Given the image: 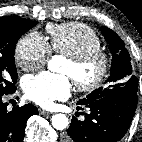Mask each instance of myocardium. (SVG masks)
<instances>
[{"mask_svg":"<svg viewBox=\"0 0 142 142\" xmlns=\"http://www.w3.org/2000/svg\"><path fill=\"white\" fill-rule=\"evenodd\" d=\"M68 61L77 71H81L93 63L98 66L96 75L91 79H83L78 76L72 78L76 88L80 91H93L99 88L108 77L110 59L108 54L100 48L81 53L77 56L68 57Z\"/></svg>","mask_w":142,"mask_h":142,"instance_id":"obj_1","label":"myocardium"}]
</instances>
